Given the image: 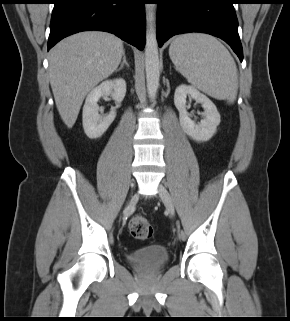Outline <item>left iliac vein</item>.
Wrapping results in <instances>:
<instances>
[{"label": "left iliac vein", "mask_w": 290, "mask_h": 321, "mask_svg": "<svg viewBox=\"0 0 290 321\" xmlns=\"http://www.w3.org/2000/svg\"><path fill=\"white\" fill-rule=\"evenodd\" d=\"M158 192L161 200L163 201L167 211L170 213V215L174 216L175 215V207L172 201V198L167 191V189L163 185L158 186Z\"/></svg>", "instance_id": "obj_1"}]
</instances>
